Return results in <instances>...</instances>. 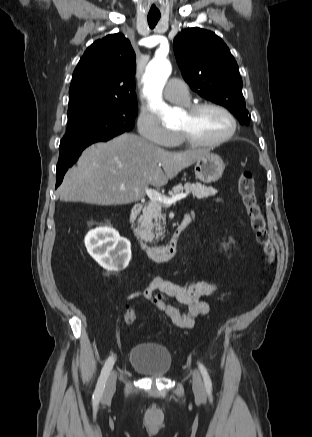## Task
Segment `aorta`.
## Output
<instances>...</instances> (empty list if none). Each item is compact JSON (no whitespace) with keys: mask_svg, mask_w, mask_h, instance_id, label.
I'll return each instance as SVG.
<instances>
[{"mask_svg":"<svg viewBox=\"0 0 312 437\" xmlns=\"http://www.w3.org/2000/svg\"><path fill=\"white\" fill-rule=\"evenodd\" d=\"M171 65L164 58L155 57L149 62L143 77V93L150 100V107L160 113L163 123H170L175 116L172 108L162 99V91L171 74Z\"/></svg>","mask_w":312,"mask_h":437,"instance_id":"aorta-1","label":"aorta"}]
</instances>
